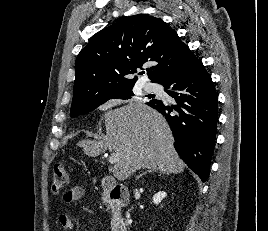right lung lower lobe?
Listing matches in <instances>:
<instances>
[{"label":"right lung lower lobe","mask_w":268,"mask_h":231,"mask_svg":"<svg viewBox=\"0 0 268 231\" xmlns=\"http://www.w3.org/2000/svg\"><path fill=\"white\" fill-rule=\"evenodd\" d=\"M161 85L175 103L154 99L147 104L165 117L179 156L205 182L210 173L218 119L217 93L212 79L200 61Z\"/></svg>","instance_id":"98d812e1"}]
</instances>
